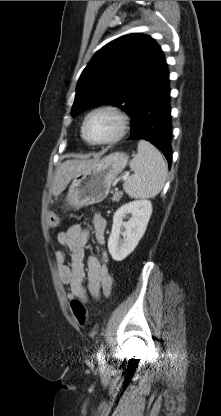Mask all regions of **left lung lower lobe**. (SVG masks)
<instances>
[{
    "instance_id": "1",
    "label": "left lung lower lobe",
    "mask_w": 221,
    "mask_h": 416,
    "mask_svg": "<svg viewBox=\"0 0 221 416\" xmlns=\"http://www.w3.org/2000/svg\"><path fill=\"white\" fill-rule=\"evenodd\" d=\"M169 101V73L166 62H164L157 81L138 103L128 140L144 139L151 142L162 151L170 168L172 125Z\"/></svg>"
}]
</instances>
